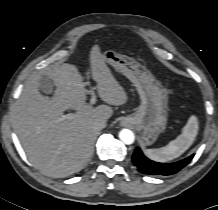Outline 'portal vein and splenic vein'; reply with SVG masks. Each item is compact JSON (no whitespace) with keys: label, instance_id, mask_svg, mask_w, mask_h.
I'll return each mask as SVG.
<instances>
[{"label":"portal vein and splenic vein","instance_id":"obj_1","mask_svg":"<svg viewBox=\"0 0 218 210\" xmlns=\"http://www.w3.org/2000/svg\"><path fill=\"white\" fill-rule=\"evenodd\" d=\"M96 103V96L93 90H91V100H90V104L93 105ZM76 117L75 113H70L67 115L62 116V119H73Z\"/></svg>","mask_w":218,"mask_h":210}]
</instances>
